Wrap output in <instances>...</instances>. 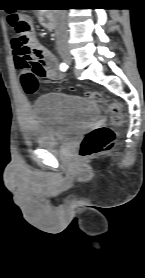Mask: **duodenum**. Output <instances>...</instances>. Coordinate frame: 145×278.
Segmentation results:
<instances>
[{
    "instance_id": "duodenum-1",
    "label": "duodenum",
    "mask_w": 145,
    "mask_h": 278,
    "mask_svg": "<svg viewBox=\"0 0 145 278\" xmlns=\"http://www.w3.org/2000/svg\"><path fill=\"white\" fill-rule=\"evenodd\" d=\"M39 21L41 22V24H43L50 30H52L54 28V22L52 21V19L50 18V16L48 14L41 15L39 18Z\"/></svg>"
}]
</instances>
